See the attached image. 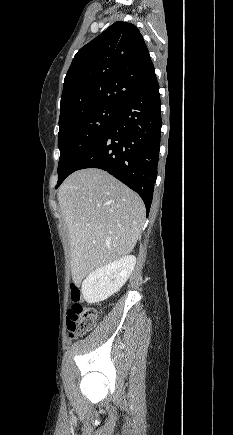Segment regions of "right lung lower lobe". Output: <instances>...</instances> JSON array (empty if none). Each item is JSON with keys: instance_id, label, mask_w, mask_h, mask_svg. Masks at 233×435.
Returning <instances> with one entry per match:
<instances>
[{"instance_id": "98d812e1", "label": "right lung lower lobe", "mask_w": 233, "mask_h": 435, "mask_svg": "<svg viewBox=\"0 0 233 435\" xmlns=\"http://www.w3.org/2000/svg\"><path fill=\"white\" fill-rule=\"evenodd\" d=\"M160 106L155 75L123 104L106 131L73 164L56 188L76 170L103 169L136 191L148 214L159 160Z\"/></svg>"}]
</instances>
